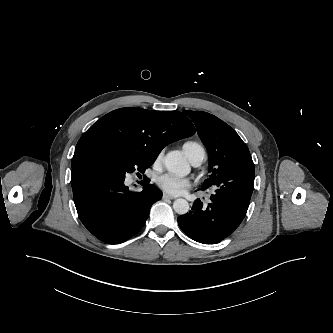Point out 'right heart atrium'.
<instances>
[{
    "instance_id": "obj_1",
    "label": "right heart atrium",
    "mask_w": 333,
    "mask_h": 333,
    "mask_svg": "<svg viewBox=\"0 0 333 333\" xmlns=\"http://www.w3.org/2000/svg\"><path fill=\"white\" fill-rule=\"evenodd\" d=\"M162 160V153H159L156 157L155 163H160Z\"/></svg>"
}]
</instances>
